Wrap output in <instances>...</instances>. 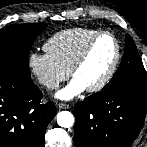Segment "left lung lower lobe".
I'll use <instances>...</instances> for the list:
<instances>
[{
  "instance_id": "left-lung-lower-lobe-1",
  "label": "left lung lower lobe",
  "mask_w": 147,
  "mask_h": 147,
  "mask_svg": "<svg viewBox=\"0 0 147 147\" xmlns=\"http://www.w3.org/2000/svg\"><path fill=\"white\" fill-rule=\"evenodd\" d=\"M147 87L127 85L101 90L74 110L76 147H130L143 126Z\"/></svg>"
}]
</instances>
